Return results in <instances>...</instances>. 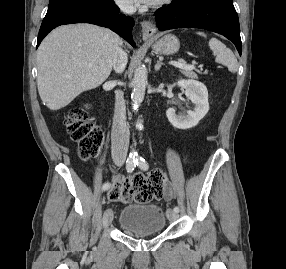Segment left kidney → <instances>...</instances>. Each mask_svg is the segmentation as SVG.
Returning <instances> with one entry per match:
<instances>
[{
  "label": "left kidney",
  "instance_id": "obj_1",
  "mask_svg": "<svg viewBox=\"0 0 286 269\" xmlns=\"http://www.w3.org/2000/svg\"><path fill=\"white\" fill-rule=\"evenodd\" d=\"M177 85L185 90V95L194 103V109L185 115H176L173 108L166 111L169 122L178 129H189L198 124L209 110L206 86L197 80H180Z\"/></svg>",
  "mask_w": 286,
  "mask_h": 269
}]
</instances>
